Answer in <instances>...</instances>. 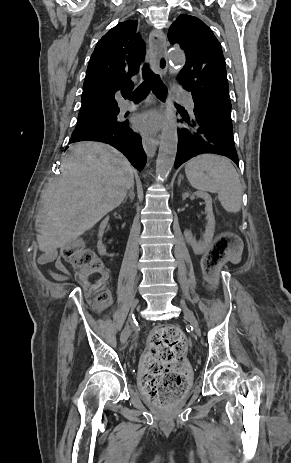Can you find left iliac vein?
I'll return each mask as SVG.
<instances>
[{"label":"left iliac vein","mask_w":291,"mask_h":463,"mask_svg":"<svg viewBox=\"0 0 291 463\" xmlns=\"http://www.w3.org/2000/svg\"><path fill=\"white\" fill-rule=\"evenodd\" d=\"M181 307L183 310L184 317L194 327L196 331H199V324L193 312L184 304H181Z\"/></svg>","instance_id":"1"}]
</instances>
